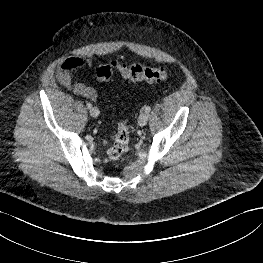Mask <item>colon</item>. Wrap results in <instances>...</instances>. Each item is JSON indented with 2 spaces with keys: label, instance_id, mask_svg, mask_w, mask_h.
<instances>
[{
  "label": "colon",
  "instance_id": "colon-1",
  "mask_svg": "<svg viewBox=\"0 0 263 263\" xmlns=\"http://www.w3.org/2000/svg\"><path fill=\"white\" fill-rule=\"evenodd\" d=\"M114 73L133 82L147 81L160 82L167 78L168 70L165 67H148L141 64H120L112 62L100 66L96 70L99 80L107 81ZM129 129L126 123L120 122L116 134L107 147V155L111 160L120 158L128 149Z\"/></svg>",
  "mask_w": 263,
  "mask_h": 263
}]
</instances>
